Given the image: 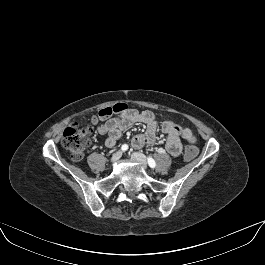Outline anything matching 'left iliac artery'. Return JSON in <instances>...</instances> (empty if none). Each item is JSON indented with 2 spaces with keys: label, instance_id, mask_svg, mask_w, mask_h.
<instances>
[{
  "label": "left iliac artery",
  "instance_id": "44dca946",
  "mask_svg": "<svg viewBox=\"0 0 265 265\" xmlns=\"http://www.w3.org/2000/svg\"><path fill=\"white\" fill-rule=\"evenodd\" d=\"M148 164L151 168H155L156 167V162L153 158L148 157Z\"/></svg>",
  "mask_w": 265,
  "mask_h": 265
}]
</instances>
